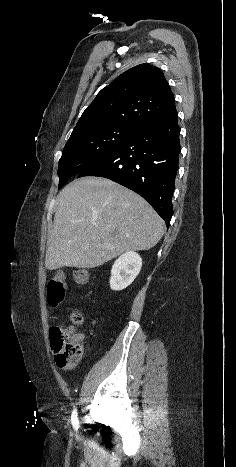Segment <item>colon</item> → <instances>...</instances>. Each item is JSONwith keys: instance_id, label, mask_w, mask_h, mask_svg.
<instances>
[{"instance_id": "colon-1", "label": "colon", "mask_w": 236, "mask_h": 467, "mask_svg": "<svg viewBox=\"0 0 236 467\" xmlns=\"http://www.w3.org/2000/svg\"><path fill=\"white\" fill-rule=\"evenodd\" d=\"M73 280L79 285H85L88 281V272L78 269L73 272ZM65 276L56 273L47 283V302L51 308H58L65 299ZM72 325L69 327L54 326L51 335V349L54 353L56 364L65 370L74 369L82 358L84 350V336L76 330L83 322L80 313L71 315Z\"/></svg>"}]
</instances>
